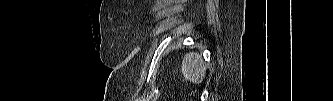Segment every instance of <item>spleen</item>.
<instances>
[{"label": "spleen", "instance_id": "obj_1", "mask_svg": "<svg viewBox=\"0 0 333 101\" xmlns=\"http://www.w3.org/2000/svg\"><path fill=\"white\" fill-rule=\"evenodd\" d=\"M182 73L186 80L192 83H201L206 75V65L201 55L190 52L184 56Z\"/></svg>", "mask_w": 333, "mask_h": 101}]
</instances>
